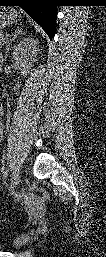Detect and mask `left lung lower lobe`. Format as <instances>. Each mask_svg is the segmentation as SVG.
Listing matches in <instances>:
<instances>
[{"instance_id":"left-lung-lower-lobe-1","label":"left lung lower lobe","mask_w":106,"mask_h":257,"mask_svg":"<svg viewBox=\"0 0 106 257\" xmlns=\"http://www.w3.org/2000/svg\"><path fill=\"white\" fill-rule=\"evenodd\" d=\"M3 6H20L47 32L52 39L55 31V0H0Z\"/></svg>"}]
</instances>
